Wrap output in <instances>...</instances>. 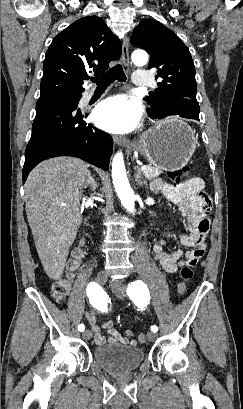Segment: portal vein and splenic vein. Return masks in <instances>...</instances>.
Returning <instances> with one entry per match:
<instances>
[{
  "label": "portal vein and splenic vein",
  "mask_w": 243,
  "mask_h": 409,
  "mask_svg": "<svg viewBox=\"0 0 243 409\" xmlns=\"http://www.w3.org/2000/svg\"><path fill=\"white\" fill-rule=\"evenodd\" d=\"M141 170H142L143 172L146 171V170H147V166H145V165L141 166Z\"/></svg>",
  "instance_id": "1"
}]
</instances>
